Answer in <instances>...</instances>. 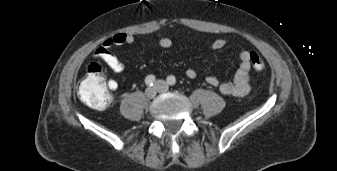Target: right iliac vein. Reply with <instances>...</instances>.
Listing matches in <instances>:
<instances>
[{
	"label": "right iliac vein",
	"instance_id": "1",
	"mask_svg": "<svg viewBox=\"0 0 337 171\" xmlns=\"http://www.w3.org/2000/svg\"><path fill=\"white\" fill-rule=\"evenodd\" d=\"M156 94H157V90H156L155 87H149V88H147L146 91H145V95H146V97L149 98V99L155 98Z\"/></svg>",
	"mask_w": 337,
	"mask_h": 171
}]
</instances>
